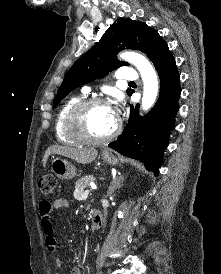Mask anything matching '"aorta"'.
<instances>
[{
  "mask_svg": "<svg viewBox=\"0 0 221 274\" xmlns=\"http://www.w3.org/2000/svg\"><path fill=\"white\" fill-rule=\"evenodd\" d=\"M120 59L133 64L143 80L142 109L149 110L155 103L158 95V78L151 63L142 55L127 51L119 55Z\"/></svg>",
  "mask_w": 221,
  "mask_h": 274,
  "instance_id": "762f6f07",
  "label": "aorta"
}]
</instances>
